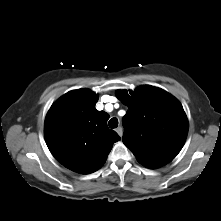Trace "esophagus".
Segmentation results:
<instances>
[{
  "mask_svg": "<svg viewBox=\"0 0 221 221\" xmlns=\"http://www.w3.org/2000/svg\"><path fill=\"white\" fill-rule=\"evenodd\" d=\"M116 132L118 133V135H119L120 137H122V135H123V129H122L121 126H119V127L116 129Z\"/></svg>",
  "mask_w": 221,
  "mask_h": 221,
  "instance_id": "obj_1",
  "label": "esophagus"
}]
</instances>
